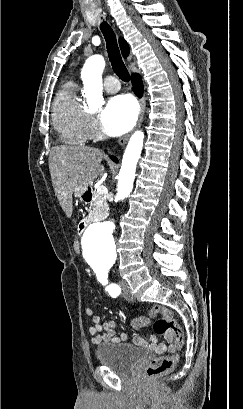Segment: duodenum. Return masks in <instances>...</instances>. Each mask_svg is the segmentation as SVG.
I'll use <instances>...</instances> for the list:
<instances>
[{
	"mask_svg": "<svg viewBox=\"0 0 243 409\" xmlns=\"http://www.w3.org/2000/svg\"><path fill=\"white\" fill-rule=\"evenodd\" d=\"M92 198V193L91 191H87L86 194L84 195V200L86 202H90ZM89 221L88 220H84L81 222L80 226H79V230L80 232H83V230L88 226Z\"/></svg>",
	"mask_w": 243,
	"mask_h": 409,
	"instance_id": "duodenum-1",
	"label": "duodenum"
}]
</instances>
